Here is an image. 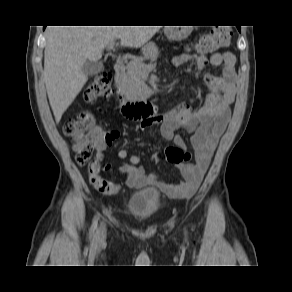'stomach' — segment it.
<instances>
[{"mask_svg": "<svg viewBox=\"0 0 292 292\" xmlns=\"http://www.w3.org/2000/svg\"><path fill=\"white\" fill-rule=\"evenodd\" d=\"M189 30L190 29L188 28H183V29L170 28L167 30L166 34L170 40L181 41L187 38Z\"/></svg>", "mask_w": 292, "mask_h": 292, "instance_id": "obj_1", "label": "stomach"}]
</instances>
